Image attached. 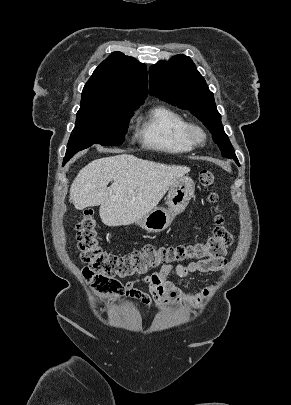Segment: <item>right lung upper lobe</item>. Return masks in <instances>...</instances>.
Wrapping results in <instances>:
<instances>
[{"instance_id":"right-lung-upper-lobe-1","label":"right lung upper lobe","mask_w":291,"mask_h":405,"mask_svg":"<svg viewBox=\"0 0 291 405\" xmlns=\"http://www.w3.org/2000/svg\"><path fill=\"white\" fill-rule=\"evenodd\" d=\"M147 67L133 57L113 52L85 84L81 108L96 105L138 108L148 94Z\"/></svg>"}]
</instances>
